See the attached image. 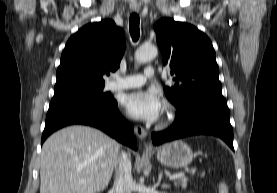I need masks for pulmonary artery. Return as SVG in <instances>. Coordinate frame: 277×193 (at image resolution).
Listing matches in <instances>:
<instances>
[{"instance_id":"pulmonary-artery-1","label":"pulmonary artery","mask_w":277,"mask_h":193,"mask_svg":"<svg viewBox=\"0 0 277 193\" xmlns=\"http://www.w3.org/2000/svg\"><path fill=\"white\" fill-rule=\"evenodd\" d=\"M155 75L153 67L149 66L145 68L143 74H133L127 77H117L115 80L107 84L109 90H122L142 86L148 78Z\"/></svg>"}]
</instances>
